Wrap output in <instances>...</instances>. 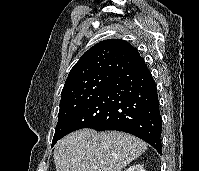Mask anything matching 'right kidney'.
<instances>
[{
	"mask_svg": "<svg viewBox=\"0 0 199 171\" xmlns=\"http://www.w3.org/2000/svg\"><path fill=\"white\" fill-rule=\"evenodd\" d=\"M126 171H146L141 164H134L130 166Z\"/></svg>",
	"mask_w": 199,
	"mask_h": 171,
	"instance_id": "right-kidney-1",
	"label": "right kidney"
}]
</instances>
